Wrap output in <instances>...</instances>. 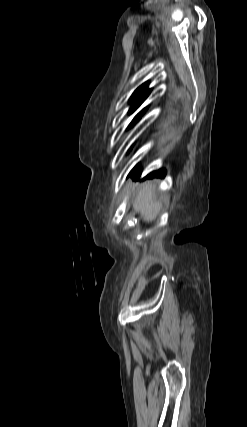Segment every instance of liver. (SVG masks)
Instances as JSON below:
<instances>
[{"label": "liver", "mask_w": 247, "mask_h": 427, "mask_svg": "<svg viewBox=\"0 0 247 427\" xmlns=\"http://www.w3.org/2000/svg\"><path fill=\"white\" fill-rule=\"evenodd\" d=\"M133 208L146 222H152L156 219L161 205L155 198L151 183L146 184L138 191Z\"/></svg>", "instance_id": "obj_1"}]
</instances>
